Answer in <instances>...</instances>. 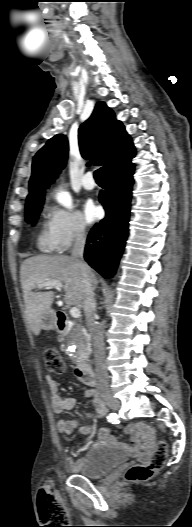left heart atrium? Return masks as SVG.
<instances>
[{
	"label": "left heart atrium",
	"instance_id": "39dd6f15",
	"mask_svg": "<svg viewBox=\"0 0 192 527\" xmlns=\"http://www.w3.org/2000/svg\"><path fill=\"white\" fill-rule=\"evenodd\" d=\"M82 214L85 221L91 223L98 218L100 210L92 200L88 199L83 203Z\"/></svg>",
	"mask_w": 192,
	"mask_h": 527
}]
</instances>
